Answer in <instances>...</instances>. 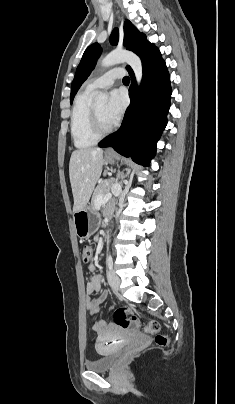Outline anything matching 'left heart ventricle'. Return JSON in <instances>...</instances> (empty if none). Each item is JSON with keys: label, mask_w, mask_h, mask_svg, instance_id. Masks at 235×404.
<instances>
[{"label": "left heart ventricle", "mask_w": 235, "mask_h": 404, "mask_svg": "<svg viewBox=\"0 0 235 404\" xmlns=\"http://www.w3.org/2000/svg\"><path fill=\"white\" fill-rule=\"evenodd\" d=\"M94 109L104 127L110 126L111 124L107 121L105 118V104H99L97 106H94Z\"/></svg>", "instance_id": "left-heart-ventricle-1"}]
</instances>
